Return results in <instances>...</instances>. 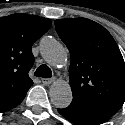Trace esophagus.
<instances>
[{
	"label": "esophagus",
	"mask_w": 125,
	"mask_h": 125,
	"mask_svg": "<svg viewBox=\"0 0 125 125\" xmlns=\"http://www.w3.org/2000/svg\"><path fill=\"white\" fill-rule=\"evenodd\" d=\"M55 79L54 78H44L42 79V83L44 85H51L52 83H54Z\"/></svg>",
	"instance_id": "34e87169"
}]
</instances>
